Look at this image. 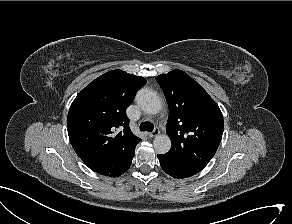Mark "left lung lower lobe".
I'll return each instance as SVG.
<instances>
[{"instance_id":"obj_1","label":"left lung lower lobe","mask_w":292,"mask_h":224,"mask_svg":"<svg viewBox=\"0 0 292 224\" xmlns=\"http://www.w3.org/2000/svg\"><path fill=\"white\" fill-rule=\"evenodd\" d=\"M157 157L160 161L162 169L174 178H187L196 174V172L190 171L176 164L174 161L165 158L162 154H158Z\"/></svg>"}]
</instances>
